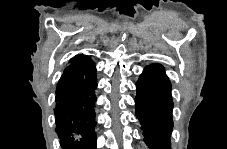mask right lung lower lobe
Returning <instances> with one entry per match:
<instances>
[{"instance_id": "right-lung-lower-lobe-1", "label": "right lung lower lobe", "mask_w": 227, "mask_h": 149, "mask_svg": "<svg viewBox=\"0 0 227 149\" xmlns=\"http://www.w3.org/2000/svg\"><path fill=\"white\" fill-rule=\"evenodd\" d=\"M96 80L89 57L70 63L59 79L54 114L62 149H96Z\"/></svg>"}]
</instances>
